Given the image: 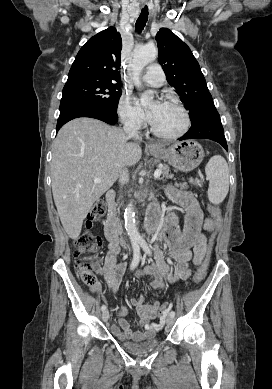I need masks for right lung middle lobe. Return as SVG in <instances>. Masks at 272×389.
I'll return each instance as SVG.
<instances>
[{
    "label": "right lung middle lobe",
    "instance_id": "dd1d6c3e",
    "mask_svg": "<svg viewBox=\"0 0 272 389\" xmlns=\"http://www.w3.org/2000/svg\"><path fill=\"white\" fill-rule=\"evenodd\" d=\"M121 94L120 83L114 84L110 81L85 80L65 84L61 101H88L116 112Z\"/></svg>",
    "mask_w": 272,
    "mask_h": 389
}]
</instances>
